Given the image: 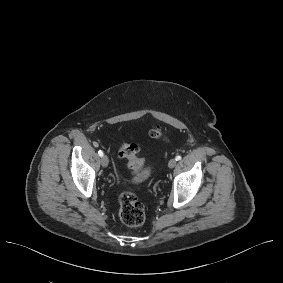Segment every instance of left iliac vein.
Listing matches in <instances>:
<instances>
[{
  "label": "left iliac vein",
  "instance_id": "4c4485c4",
  "mask_svg": "<svg viewBox=\"0 0 283 283\" xmlns=\"http://www.w3.org/2000/svg\"><path fill=\"white\" fill-rule=\"evenodd\" d=\"M177 164V161L175 158L170 159V161L168 162V167L169 168H174Z\"/></svg>",
  "mask_w": 283,
  "mask_h": 283
}]
</instances>
